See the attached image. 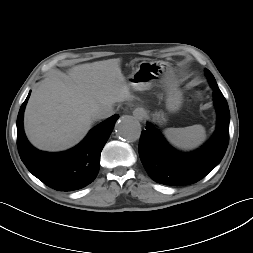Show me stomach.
I'll return each instance as SVG.
<instances>
[{"label":"stomach","instance_id":"0dacf381","mask_svg":"<svg viewBox=\"0 0 253 253\" xmlns=\"http://www.w3.org/2000/svg\"><path fill=\"white\" fill-rule=\"evenodd\" d=\"M161 77L167 86V109L171 112L177 111L182 104V92L173 76L168 64L163 61H143L136 70L128 77L130 86L139 91L146 90ZM154 119L163 123L166 121L163 113H156Z\"/></svg>","mask_w":253,"mask_h":253}]
</instances>
